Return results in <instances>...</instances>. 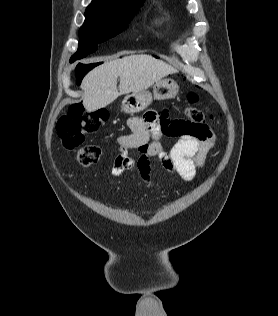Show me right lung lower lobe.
Segmentation results:
<instances>
[{"mask_svg":"<svg viewBox=\"0 0 278 316\" xmlns=\"http://www.w3.org/2000/svg\"><path fill=\"white\" fill-rule=\"evenodd\" d=\"M83 76L77 74V78L80 81Z\"/></svg>","mask_w":278,"mask_h":316,"instance_id":"right-lung-lower-lobe-1","label":"right lung lower lobe"}]
</instances>
